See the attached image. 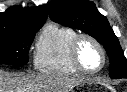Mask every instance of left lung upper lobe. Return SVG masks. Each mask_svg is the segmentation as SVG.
I'll return each instance as SVG.
<instances>
[{
  "mask_svg": "<svg viewBox=\"0 0 127 92\" xmlns=\"http://www.w3.org/2000/svg\"><path fill=\"white\" fill-rule=\"evenodd\" d=\"M50 18L62 25L79 29L102 44L110 58L109 74L112 79L127 78V59L118 38L105 16L92 1L54 0L49 5Z\"/></svg>",
  "mask_w": 127,
  "mask_h": 92,
  "instance_id": "obj_1",
  "label": "left lung upper lobe"
}]
</instances>
